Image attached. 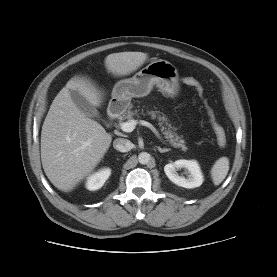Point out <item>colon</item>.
I'll return each instance as SVG.
<instances>
[{"label":"colon","instance_id":"colon-1","mask_svg":"<svg viewBox=\"0 0 277 277\" xmlns=\"http://www.w3.org/2000/svg\"><path fill=\"white\" fill-rule=\"evenodd\" d=\"M183 82L196 89L199 95H202L203 89L200 83L193 77H184ZM205 108L208 115L210 125L212 127L217 144L221 148H225L227 145V134L224 127L218 122L213 109L205 102Z\"/></svg>","mask_w":277,"mask_h":277}]
</instances>
